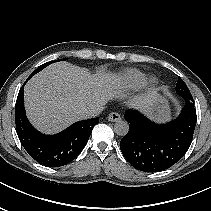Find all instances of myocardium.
<instances>
[{
	"label": "myocardium",
	"mask_w": 211,
	"mask_h": 211,
	"mask_svg": "<svg viewBox=\"0 0 211 211\" xmlns=\"http://www.w3.org/2000/svg\"><path fill=\"white\" fill-rule=\"evenodd\" d=\"M158 80L154 76L146 78L143 82V88L145 92H151L157 85Z\"/></svg>",
	"instance_id": "f54148a6"
}]
</instances>
